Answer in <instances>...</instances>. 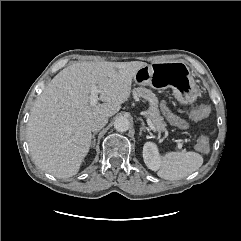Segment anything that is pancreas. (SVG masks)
I'll list each match as a JSON object with an SVG mask.
<instances>
[{"label":"pancreas","mask_w":241,"mask_h":241,"mask_svg":"<svg viewBox=\"0 0 241 241\" xmlns=\"http://www.w3.org/2000/svg\"><path fill=\"white\" fill-rule=\"evenodd\" d=\"M133 96L135 99L143 98L149 101V109L147 110V118L151 120L155 129L158 132H162L166 130V123L164 122L163 117L160 115V111L158 109V98L156 95L149 89L138 87L133 90Z\"/></svg>","instance_id":"1"}]
</instances>
